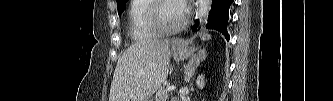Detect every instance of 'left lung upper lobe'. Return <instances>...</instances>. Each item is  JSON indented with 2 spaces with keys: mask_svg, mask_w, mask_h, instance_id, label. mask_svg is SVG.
<instances>
[{
  "mask_svg": "<svg viewBox=\"0 0 333 101\" xmlns=\"http://www.w3.org/2000/svg\"><path fill=\"white\" fill-rule=\"evenodd\" d=\"M126 2L127 0H117V7L119 14H121L124 11Z\"/></svg>",
  "mask_w": 333,
  "mask_h": 101,
  "instance_id": "left-lung-upper-lobe-1",
  "label": "left lung upper lobe"
}]
</instances>
